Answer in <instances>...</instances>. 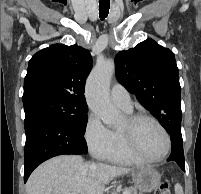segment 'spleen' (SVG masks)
I'll return each instance as SVG.
<instances>
[{"mask_svg": "<svg viewBox=\"0 0 201 194\" xmlns=\"http://www.w3.org/2000/svg\"><path fill=\"white\" fill-rule=\"evenodd\" d=\"M174 190H175V194H184L183 193V188L179 183H177L175 185Z\"/></svg>", "mask_w": 201, "mask_h": 194, "instance_id": "obj_1", "label": "spleen"}]
</instances>
